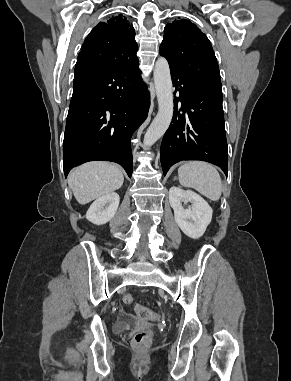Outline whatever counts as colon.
<instances>
[{
  "label": "colon",
  "mask_w": 291,
  "mask_h": 381,
  "mask_svg": "<svg viewBox=\"0 0 291 381\" xmlns=\"http://www.w3.org/2000/svg\"><path fill=\"white\" fill-rule=\"evenodd\" d=\"M123 302L125 304H131L133 302V296L131 294H125L123 296ZM135 311L141 319L145 320H158L159 315L144 305H136ZM151 343V335L148 332H138L133 338V344L137 348H145Z\"/></svg>",
  "instance_id": "obj_1"
}]
</instances>
